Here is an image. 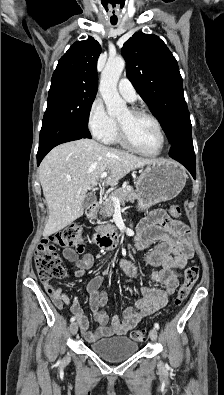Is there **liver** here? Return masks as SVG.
Segmentation results:
<instances>
[{"mask_svg":"<svg viewBox=\"0 0 224 395\" xmlns=\"http://www.w3.org/2000/svg\"><path fill=\"white\" fill-rule=\"evenodd\" d=\"M147 159L110 148L93 139H81L61 144L43 159L38 173L49 210L43 236L52 235L83 215V201L88 190L104 180L115 186L130 171L154 163Z\"/></svg>","mask_w":224,"mask_h":395,"instance_id":"obj_1","label":"liver"}]
</instances>
